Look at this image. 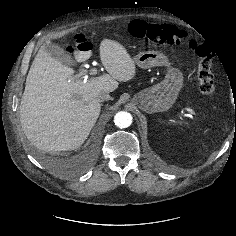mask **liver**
Wrapping results in <instances>:
<instances>
[{"instance_id":"obj_1","label":"liver","mask_w":236,"mask_h":236,"mask_svg":"<svg viewBox=\"0 0 236 236\" xmlns=\"http://www.w3.org/2000/svg\"><path fill=\"white\" fill-rule=\"evenodd\" d=\"M50 43L48 40L45 44ZM91 55V51H74L77 62H84ZM100 58L109 74L82 80L73 76L72 68L53 58L44 45L40 48L19 106L22 129L36 147L45 151L80 147L99 117L98 94L113 92L118 82L135 77V60L121 43L103 39Z\"/></svg>"}]
</instances>
